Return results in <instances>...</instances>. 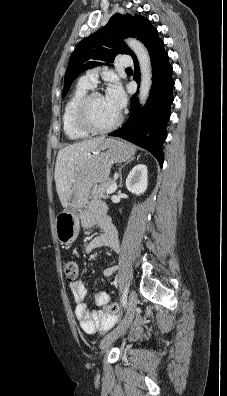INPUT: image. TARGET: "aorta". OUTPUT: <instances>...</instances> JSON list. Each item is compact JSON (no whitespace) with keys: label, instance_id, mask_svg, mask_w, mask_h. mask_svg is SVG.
<instances>
[{"label":"aorta","instance_id":"aorta-1","mask_svg":"<svg viewBox=\"0 0 227 396\" xmlns=\"http://www.w3.org/2000/svg\"><path fill=\"white\" fill-rule=\"evenodd\" d=\"M127 45L135 53L141 72L139 100L140 104L144 105L149 97V92L152 85V67L151 60L146 47L137 39H126Z\"/></svg>","mask_w":227,"mask_h":396}]
</instances>
